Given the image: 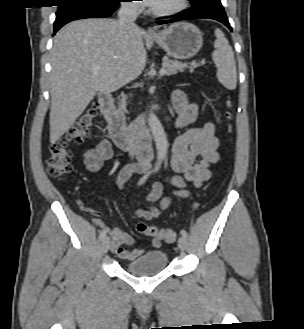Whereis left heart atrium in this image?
Instances as JSON below:
<instances>
[{
    "label": "left heart atrium",
    "mask_w": 304,
    "mask_h": 329,
    "mask_svg": "<svg viewBox=\"0 0 304 329\" xmlns=\"http://www.w3.org/2000/svg\"><path fill=\"white\" fill-rule=\"evenodd\" d=\"M144 1V4L147 5V6H152L156 0H143Z\"/></svg>",
    "instance_id": "obj_1"
}]
</instances>
